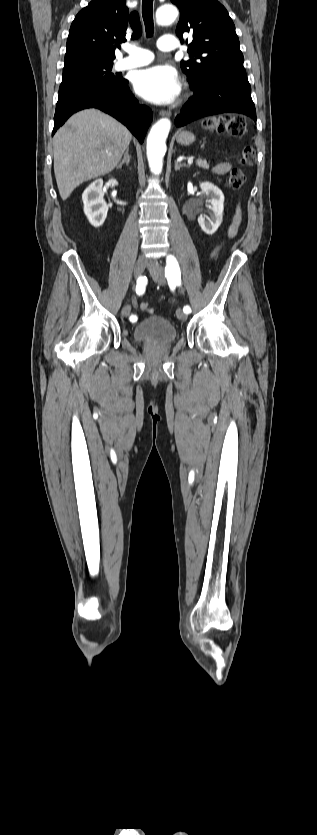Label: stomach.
Instances as JSON below:
<instances>
[{"label": "stomach", "mask_w": 317, "mask_h": 835, "mask_svg": "<svg viewBox=\"0 0 317 835\" xmlns=\"http://www.w3.org/2000/svg\"><path fill=\"white\" fill-rule=\"evenodd\" d=\"M176 140L178 144H181L182 146H189L196 140V137L192 132L181 130L177 132Z\"/></svg>", "instance_id": "stomach-1"}]
</instances>
